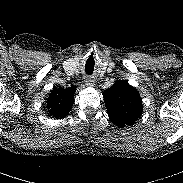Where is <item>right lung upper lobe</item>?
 Wrapping results in <instances>:
<instances>
[{
	"mask_svg": "<svg viewBox=\"0 0 183 183\" xmlns=\"http://www.w3.org/2000/svg\"><path fill=\"white\" fill-rule=\"evenodd\" d=\"M76 86L69 88L54 87L47 98L49 114L54 118H64L70 112L74 103Z\"/></svg>",
	"mask_w": 183,
	"mask_h": 183,
	"instance_id": "obj_1",
	"label": "right lung upper lobe"
}]
</instances>
